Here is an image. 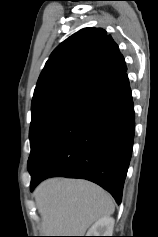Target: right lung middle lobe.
Instances as JSON below:
<instances>
[{"label":"right lung middle lobe","instance_id":"dd1d6c3e","mask_svg":"<svg viewBox=\"0 0 158 237\" xmlns=\"http://www.w3.org/2000/svg\"><path fill=\"white\" fill-rule=\"evenodd\" d=\"M83 103V101L73 97L60 96L32 105V120L29 132L31 153L28 165L42 140Z\"/></svg>","mask_w":158,"mask_h":237}]
</instances>
